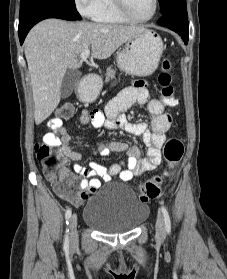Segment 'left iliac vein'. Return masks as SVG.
Listing matches in <instances>:
<instances>
[{
	"instance_id": "1",
	"label": "left iliac vein",
	"mask_w": 227,
	"mask_h": 279,
	"mask_svg": "<svg viewBox=\"0 0 227 279\" xmlns=\"http://www.w3.org/2000/svg\"><path fill=\"white\" fill-rule=\"evenodd\" d=\"M164 222H163V216L161 213H158L157 220H156V231L158 236L163 237L164 236Z\"/></svg>"
}]
</instances>
